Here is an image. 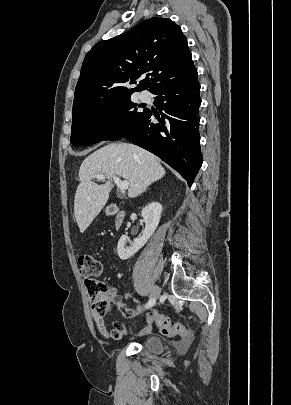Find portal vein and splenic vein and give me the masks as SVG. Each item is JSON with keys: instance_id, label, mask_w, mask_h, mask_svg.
Returning a JSON list of instances; mask_svg holds the SVG:
<instances>
[{"instance_id": "obj_1", "label": "portal vein and splenic vein", "mask_w": 291, "mask_h": 405, "mask_svg": "<svg viewBox=\"0 0 291 405\" xmlns=\"http://www.w3.org/2000/svg\"><path fill=\"white\" fill-rule=\"evenodd\" d=\"M96 177H97L98 180H104L105 179V176L103 174H98ZM112 178H113L115 184L117 185V187L120 190L124 191V190L128 189V187H129V182L128 181H121L120 178H118L117 176H113Z\"/></svg>"}]
</instances>
